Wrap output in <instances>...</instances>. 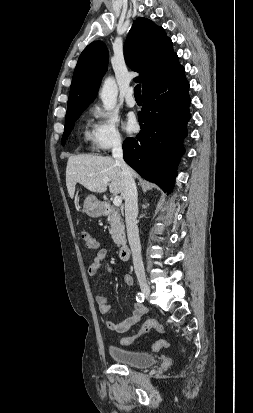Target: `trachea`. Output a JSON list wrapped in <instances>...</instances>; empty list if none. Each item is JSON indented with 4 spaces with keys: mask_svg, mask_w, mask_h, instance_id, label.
<instances>
[{
    "mask_svg": "<svg viewBox=\"0 0 253 413\" xmlns=\"http://www.w3.org/2000/svg\"><path fill=\"white\" fill-rule=\"evenodd\" d=\"M134 96L135 98H142L141 96V84H137L134 88Z\"/></svg>",
    "mask_w": 253,
    "mask_h": 413,
    "instance_id": "obj_1",
    "label": "trachea"
}]
</instances>
